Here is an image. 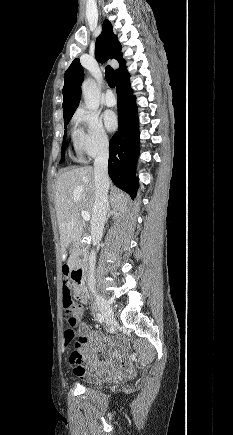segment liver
<instances>
[{
  "label": "liver",
  "mask_w": 233,
  "mask_h": 435,
  "mask_svg": "<svg viewBox=\"0 0 233 435\" xmlns=\"http://www.w3.org/2000/svg\"><path fill=\"white\" fill-rule=\"evenodd\" d=\"M94 200V169L91 166L73 168L58 177L55 186V210L63 254L71 243L81 238L83 232L81 211L85 210L92 216ZM127 202L128 196L125 193L111 191L108 209L124 212L127 209Z\"/></svg>",
  "instance_id": "1"
}]
</instances>
